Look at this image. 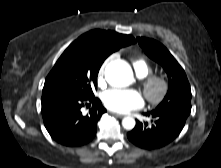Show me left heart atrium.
I'll list each match as a JSON object with an SVG mask.
<instances>
[{"mask_svg": "<svg viewBox=\"0 0 221 168\" xmlns=\"http://www.w3.org/2000/svg\"><path fill=\"white\" fill-rule=\"evenodd\" d=\"M102 100L105 107L118 113H128L144 105L143 96L129 89H109L103 93Z\"/></svg>", "mask_w": 221, "mask_h": 168, "instance_id": "left-heart-atrium-1", "label": "left heart atrium"}]
</instances>
